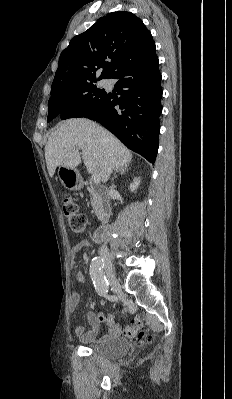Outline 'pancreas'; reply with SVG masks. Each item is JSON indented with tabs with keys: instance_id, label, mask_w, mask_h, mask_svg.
I'll return each mask as SVG.
<instances>
[{
	"instance_id": "cf45deb5",
	"label": "pancreas",
	"mask_w": 232,
	"mask_h": 399,
	"mask_svg": "<svg viewBox=\"0 0 232 399\" xmlns=\"http://www.w3.org/2000/svg\"><path fill=\"white\" fill-rule=\"evenodd\" d=\"M91 196V205L101 221H107L109 215H111V209L107 194H98L95 190H89Z\"/></svg>"
}]
</instances>
